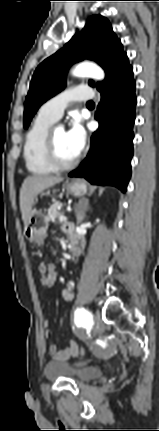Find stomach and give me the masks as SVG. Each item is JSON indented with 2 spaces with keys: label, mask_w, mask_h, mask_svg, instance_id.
Listing matches in <instances>:
<instances>
[{
  "label": "stomach",
  "mask_w": 159,
  "mask_h": 431,
  "mask_svg": "<svg viewBox=\"0 0 159 431\" xmlns=\"http://www.w3.org/2000/svg\"><path fill=\"white\" fill-rule=\"evenodd\" d=\"M65 189L74 196H84L87 192V185L82 180H72L66 182ZM47 228L48 221L43 212L33 209L24 227V235L31 243L40 246L47 236Z\"/></svg>",
  "instance_id": "obj_1"
}]
</instances>
